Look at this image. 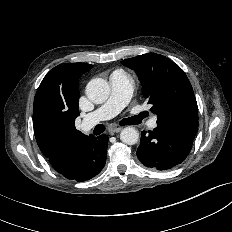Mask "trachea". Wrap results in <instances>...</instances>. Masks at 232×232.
<instances>
[{
	"instance_id": "trachea-1",
	"label": "trachea",
	"mask_w": 232,
	"mask_h": 232,
	"mask_svg": "<svg viewBox=\"0 0 232 232\" xmlns=\"http://www.w3.org/2000/svg\"><path fill=\"white\" fill-rule=\"evenodd\" d=\"M139 120V117L135 116V117H130V118H126V119H122L119 124L120 125H134L137 124ZM105 131V126L102 124H98L96 125V127L94 128V134L95 135H99L102 132Z\"/></svg>"
}]
</instances>
